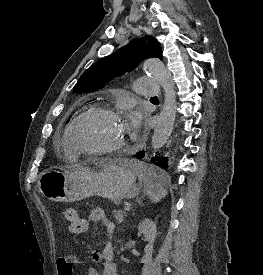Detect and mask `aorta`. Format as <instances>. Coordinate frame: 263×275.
Returning <instances> with one entry per match:
<instances>
[{
	"label": "aorta",
	"instance_id": "obj_1",
	"mask_svg": "<svg viewBox=\"0 0 263 275\" xmlns=\"http://www.w3.org/2000/svg\"><path fill=\"white\" fill-rule=\"evenodd\" d=\"M144 68L162 86L165 95L152 136V147L159 150L166 144L173 130L177 109L176 92L172 76L160 60L150 59L145 62Z\"/></svg>",
	"mask_w": 263,
	"mask_h": 275
}]
</instances>
